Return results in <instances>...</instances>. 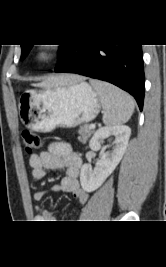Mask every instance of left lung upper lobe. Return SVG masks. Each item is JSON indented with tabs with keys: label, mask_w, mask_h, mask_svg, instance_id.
I'll return each mask as SVG.
<instances>
[{
	"label": "left lung upper lobe",
	"mask_w": 166,
	"mask_h": 267,
	"mask_svg": "<svg viewBox=\"0 0 166 267\" xmlns=\"http://www.w3.org/2000/svg\"><path fill=\"white\" fill-rule=\"evenodd\" d=\"M31 47H32V45H26V44L21 45V48H22L21 59H24L28 55ZM66 47H67V45H64L63 48L59 49L58 54L60 57H62V54H63Z\"/></svg>",
	"instance_id": "1"
}]
</instances>
